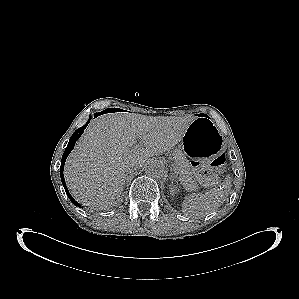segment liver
Listing matches in <instances>:
<instances>
[{
	"label": "liver",
	"mask_w": 299,
	"mask_h": 299,
	"mask_svg": "<svg viewBox=\"0 0 299 299\" xmlns=\"http://www.w3.org/2000/svg\"><path fill=\"white\" fill-rule=\"evenodd\" d=\"M194 116L105 114L93 120L69 155L64 169L72 196L82 205L109 208L120 197L132 164L175 147ZM137 139L144 147H136Z\"/></svg>",
	"instance_id": "6515ba94"
}]
</instances>
